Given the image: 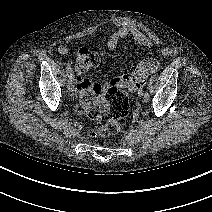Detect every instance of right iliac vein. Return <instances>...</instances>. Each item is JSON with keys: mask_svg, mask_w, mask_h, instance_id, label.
Returning a JSON list of instances; mask_svg holds the SVG:
<instances>
[{"mask_svg": "<svg viewBox=\"0 0 212 212\" xmlns=\"http://www.w3.org/2000/svg\"><path fill=\"white\" fill-rule=\"evenodd\" d=\"M74 78H69V81H68V89L70 92H73L74 91Z\"/></svg>", "mask_w": 212, "mask_h": 212, "instance_id": "63e3f726", "label": "right iliac vein"}]
</instances>
